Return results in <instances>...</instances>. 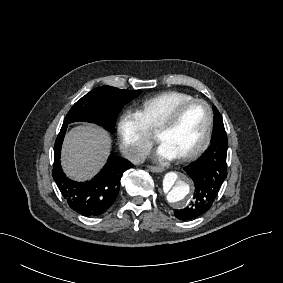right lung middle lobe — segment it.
Here are the masks:
<instances>
[{
  "mask_svg": "<svg viewBox=\"0 0 283 283\" xmlns=\"http://www.w3.org/2000/svg\"><path fill=\"white\" fill-rule=\"evenodd\" d=\"M141 92V90H121L111 86L97 87L72 106L63 125L75 121H87L103 126L111 132L114 130L120 110Z\"/></svg>",
  "mask_w": 283,
  "mask_h": 283,
  "instance_id": "1",
  "label": "right lung middle lobe"
}]
</instances>
